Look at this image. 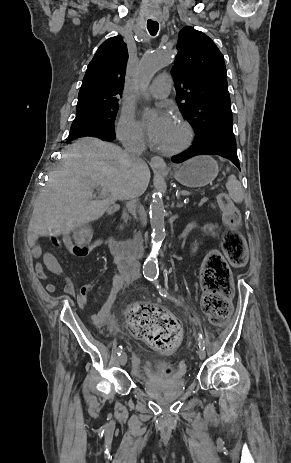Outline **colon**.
<instances>
[{"label":"colon","instance_id":"obj_1","mask_svg":"<svg viewBox=\"0 0 291 463\" xmlns=\"http://www.w3.org/2000/svg\"><path fill=\"white\" fill-rule=\"evenodd\" d=\"M217 202L222 211L223 222L229 228L223 237L226 259L220 252L213 250L206 256L201 271L202 308L214 324L226 320L232 310L233 284L227 262L236 267L243 266L246 262L245 242L236 230L240 223V212L226 194H219ZM91 238V229L80 225L71 236L72 247L81 248L87 245ZM50 241L53 243L52 238ZM129 324L135 336L161 352L173 350L181 338L178 322L151 305L133 306Z\"/></svg>","mask_w":291,"mask_h":463}]
</instances>
